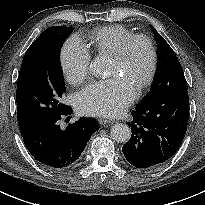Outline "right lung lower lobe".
<instances>
[{"instance_id": "right-lung-lower-lobe-1", "label": "right lung lower lobe", "mask_w": 205, "mask_h": 205, "mask_svg": "<svg viewBox=\"0 0 205 205\" xmlns=\"http://www.w3.org/2000/svg\"><path fill=\"white\" fill-rule=\"evenodd\" d=\"M70 114L71 109L67 106L63 112L47 116L22 134L29 152L48 168L65 169L73 166L92 134L99 129L98 123L92 118H80L65 130L61 129L59 120Z\"/></svg>"}]
</instances>
